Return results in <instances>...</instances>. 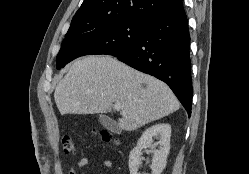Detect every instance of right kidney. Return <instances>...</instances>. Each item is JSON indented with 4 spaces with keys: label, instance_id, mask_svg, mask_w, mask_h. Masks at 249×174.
<instances>
[{
    "label": "right kidney",
    "instance_id": "1",
    "mask_svg": "<svg viewBox=\"0 0 249 174\" xmlns=\"http://www.w3.org/2000/svg\"><path fill=\"white\" fill-rule=\"evenodd\" d=\"M154 136H158L160 140L153 144ZM170 136L171 126L169 124L160 123L148 128L138 140L137 146L130 152V174H139L138 169L141 164L140 154L142 149L147 147H150L153 152L152 174H161L167 163V156L170 150ZM157 145H160L159 149H156Z\"/></svg>",
    "mask_w": 249,
    "mask_h": 174
}]
</instances>
